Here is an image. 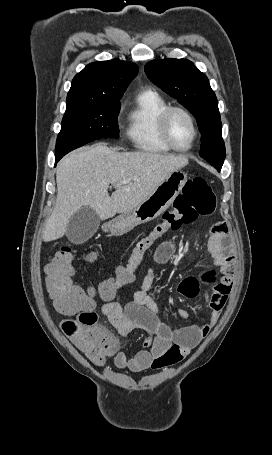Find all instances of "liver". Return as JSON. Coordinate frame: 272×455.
<instances>
[{
	"mask_svg": "<svg viewBox=\"0 0 272 455\" xmlns=\"http://www.w3.org/2000/svg\"><path fill=\"white\" fill-rule=\"evenodd\" d=\"M187 164L182 155L118 152L106 144L69 153L57 166V199L43 241L63 237L70 218L83 206L92 208L101 220L133 210L172 172ZM127 179L131 181L121 184ZM110 184L115 187L111 196Z\"/></svg>",
	"mask_w": 272,
	"mask_h": 455,
	"instance_id": "1",
	"label": "liver"
}]
</instances>
